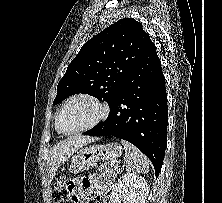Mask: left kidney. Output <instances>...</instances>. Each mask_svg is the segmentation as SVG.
<instances>
[{"mask_svg":"<svg viewBox=\"0 0 222 203\" xmlns=\"http://www.w3.org/2000/svg\"><path fill=\"white\" fill-rule=\"evenodd\" d=\"M149 186L142 176L128 173L113 186L109 203H145Z\"/></svg>","mask_w":222,"mask_h":203,"instance_id":"5707ae66","label":"left kidney"}]
</instances>
